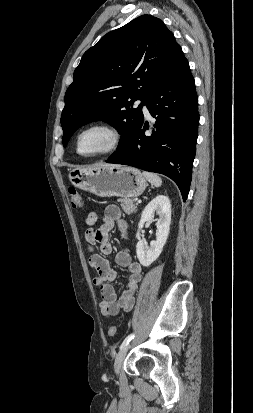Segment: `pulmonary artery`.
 Instances as JSON below:
<instances>
[{
  "mask_svg": "<svg viewBox=\"0 0 253 413\" xmlns=\"http://www.w3.org/2000/svg\"><path fill=\"white\" fill-rule=\"evenodd\" d=\"M137 103L142 105V109H143L144 114L149 116V111H148V108L146 107V105L141 100H138Z\"/></svg>",
  "mask_w": 253,
  "mask_h": 413,
  "instance_id": "obj_1",
  "label": "pulmonary artery"
}]
</instances>
